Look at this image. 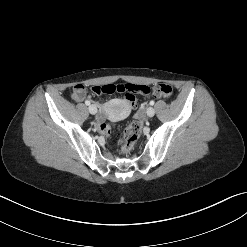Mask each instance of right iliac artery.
<instances>
[{"label": "right iliac artery", "instance_id": "82829eb1", "mask_svg": "<svg viewBox=\"0 0 247 247\" xmlns=\"http://www.w3.org/2000/svg\"><path fill=\"white\" fill-rule=\"evenodd\" d=\"M85 104H86V105H90V101L86 100V101H85Z\"/></svg>", "mask_w": 247, "mask_h": 247}]
</instances>
